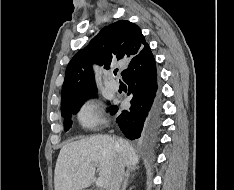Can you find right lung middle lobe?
<instances>
[{
  "label": "right lung middle lobe",
  "instance_id": "dd1d6c3e",
  "mask_svg": "<svg viewBox=\"0 0 234 190\" xmlns=\"http://www.w3.org/2000/svg\"><path fill=\"white\" fill-rule=\"evenodd\" d=\"M95 92L96 91L88 92L74 100L61 104V114L65 118V121H64L65 131H68L71 128V125H72L71 115L74 113H77L80 107L82 106V104L84 103V101L86 100V97L88 95L94 94Z\"/></svg>",
  "mask_w": 234,
  "mask_h": 190
}]
</instances>
